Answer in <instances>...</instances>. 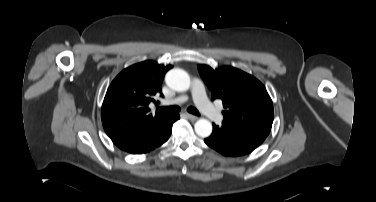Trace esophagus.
Returning a JSON list of instances; mask_svg holds the SVG:
<instances>
[{"label": "esophagus", "mask_w": 376, "mask_h": 202, "mask_svg": "<svg viewBox=\"0 0 376 202\" xmlns=\"http://www.w3.org/2000/svg\"><path fill=\"white\" fill-rule=\"evenodd\" d=\"M186 116H187V118H188L189 120H191V121H195V120H197V116H195V115H192V114L186 113Z\"/></svg>", "instance_id": "34e87169"}]
</instances>
